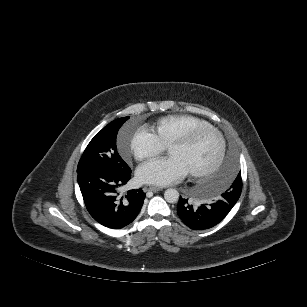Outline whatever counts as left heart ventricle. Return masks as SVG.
I'll return each instance as SVG.
<instances>
[{"label": "left heart ventricle", "mask_w": 307, "mask_h": 307, "mask_svg": "<svg viewBox=\"0 0 307 307\" xmlns=\"http://www.w3.org/2000/svg\"><path fill=\"white\" fill-rule=\"evenodd\" d=\"M219 151V139L212 132L201 134L188 146H174L169 154L179 158L190 171H200L212 166Z\"/></svg>", "instance_id": "b2bd125f"}]
</instances>
